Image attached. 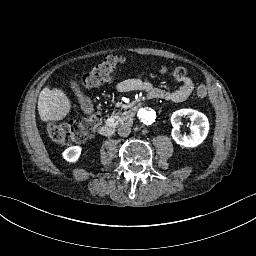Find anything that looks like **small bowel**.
<instances>
[{
  "mask_svg": "<svg viewBox=\"0 0 256 256\" xmlns=\"http://www.w3.org/2000/svg\"><path fill=\"white\" fill-rule=\"evenodd\" d=\"M179 86L174 90H165L154 87L147 81L134 79V78H123L120 80L116 88L121 92L127 91H141L147 94L151 99H162L172 102H182L186 100L194 90V83L189 77H183L180 80H176Z\"/></svg>",
  "mask_w": 256,
  "mask_h": 256,
  "instance_id": "small-bowel-1",
  "label": "small bowel"
}]
</instances>
